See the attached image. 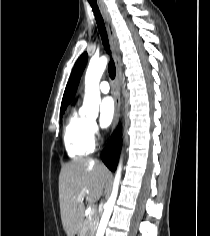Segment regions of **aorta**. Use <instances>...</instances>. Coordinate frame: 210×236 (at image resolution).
Instances as JSON below:
<instances>
[{"instance_id": "1", "label": "aorta", "mask_w": 210, "mask_h": 236, "mask_svg": "<svg viewBox=\"0 0 210 236\" xmlns=\"http://www.w3.org/2000/svg\"><path fill=\"white\" fill-rule=\"evenodd\" d=\"M107 64H108V58L106 56H102L98 59H91L88 65L85 75V96H84L83 106L81 109V112L85 114L88 118L95 119L98 116L99 103L101 100L99 82L105 71ZM121 169L122 167L120 163L116 171L111 196L105 204V209L98 227V233H101L102 236L108 224L109 218L111 216L117 198L118 187L121 178Z\"/></svg>"}]
</instances>
